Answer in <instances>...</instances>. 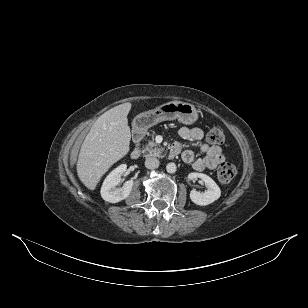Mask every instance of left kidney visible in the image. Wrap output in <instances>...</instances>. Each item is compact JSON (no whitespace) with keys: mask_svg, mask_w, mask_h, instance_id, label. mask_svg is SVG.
<instances>
[{"mask_svg":"<svg viewBox=\"0 0 308 308\" xmlns=\"http://www.w3.org/2000/svg\"><path fill=\"white\" fill-rule=\"evenodd\" d=\"M188 178L190 180L194 178H200L201 180L204 181L205 186L207 188V190L203 193H200L196 190H192L190 192V199L193 203L200 206H206L219 199L221 195V190L219 186L215 183V181L208 175L203 173L193 172L188 175Z\"/></svg>","mask_w":308,"mask_h":308,"instance_id":"obj_1","label":"left kidney"}]
</instances>
